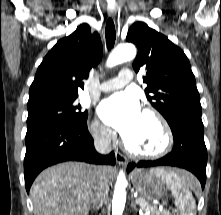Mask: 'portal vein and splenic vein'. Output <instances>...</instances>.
<instances>
[{"mask_svg":"<svg viewBox=\"0 0 221 215\" xmlns=\"http://www.w3.org/2000/svg\"><path fill=\"white\" fill-rule=\"evenodd\" d=\"M135 202H136L137 204H142L143 200H142L141 198H136V199H135ZM145 215H150V212L148 211Z\"/></svg>","mask_w":221,"mask_h":215,"instance_id":"obj_1","label":"portal vein and splenic vein"}]
</instances>
